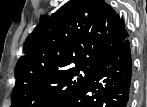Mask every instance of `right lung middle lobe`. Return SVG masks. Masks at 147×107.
<instances>
[{
  "label": "right lung middle lobe",
  "mask_w": 147,
  "mask_h": 107,
  "mask_svg": "<svg viewBox=\"0 0 147 107\" xmlns=\"http://www.w3.org/2000/svg\"><path fill=\"white\" fill-rule=\"evenodd\" d=\"M95 69L73 65L59 70L15 74L11 107H57L84 85Z\"/></svg>",
  "instance_id": "1"
}]
</instances>
